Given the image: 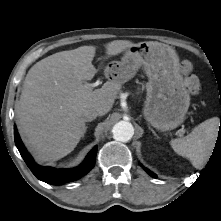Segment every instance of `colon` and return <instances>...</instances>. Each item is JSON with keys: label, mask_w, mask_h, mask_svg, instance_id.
Segmentation results:
<instances>
[{"label": "colon", "mask_w": 221, "mask_h": 221, "mask_svg": "<svg viewBox=\"0 0 221 221\" xmlns=\"http://www.w3.org/2000/svg\"><path fill=\"white\" fill-rule=\"evenodd\" d=\"M192 70L193 66L190 61H182L181 72L184 75L185 86L191 94H196L200 90V81L198 77L192 73Z\"/></svg>", "instance_id": "obj_1"}]
</instances>
